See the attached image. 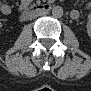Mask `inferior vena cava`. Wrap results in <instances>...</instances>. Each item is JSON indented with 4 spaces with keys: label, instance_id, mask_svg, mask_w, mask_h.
Returning a JSON list of instances; mask_svg holds the SVG:
<instances>
[{
    "label": "inferior vena cava",
    "instance_id": "inferior-vena-cava-1",
    "mask_svg": "<svg viewBox=\"0 0 91 91\" xmlns=\"http://www.w3.org/2000/svg\"><path fill=\"white\" fill-rule=\"evenodd\" d=\"M47 16V11H35L32 12V17Z\"/></svg>",
    "mask_w": 91,
    "mask_h": 91
}]
</instances>
